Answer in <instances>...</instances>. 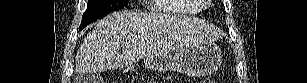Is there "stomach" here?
I'll use <instances>...</instances> for the list:
<instances>
[{
	"label": "stomach",
	"instance_id": "0dacf381",
	"mask_svg": "<svg viewBox=\"0 0 307 83\" xmlns=\"http://www.w3.org/2000/svg\"><path fill=\"white\" fill-rule=\"evenodd\" d=\"M222 51L212 42H200L182 48L175 56H147L144 64L152 71H175L192 77H202L215 72L222 62Z\"/></svg>",
	"mask_w": 307,
	"mask_h": 83
}]
</instances>
